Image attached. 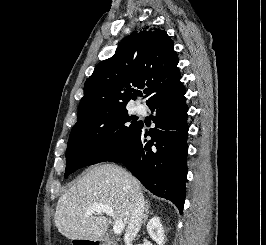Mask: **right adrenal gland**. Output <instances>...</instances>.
I'll list each match as a JSON object with an SVG mask.
<instances>
[{
    "label": "right adrenal gland",
    "mask_w": 266,
    "mask_h": 245,
    "mask_svg": "<svg viewBox=\"0 0 266 245\" xmlns=\"http://www.w3.org/2000/svg\"><path fill=\"white\" fill-rule=\"evenodd\" d=\"M145 203H146V209H145L144 219L142 221L143 225H145V223L149 217V205H150V203H149V201H145ZM150 215H152V213H150Z\"/></svg>",
    "instance_id": "1"
}]
</instances>
